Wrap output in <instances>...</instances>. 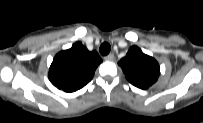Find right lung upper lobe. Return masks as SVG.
Masks as SVG:
<instances>
[{
	"label": "right lung upper lobe",
	"mask_w": 203,
	"mask_h": 123,
	"mask_svg": "<svg viewBox=\"0 0 203 123\" xmlns=\"http://www.w3.org/2000/svg\"><path fill=\"white\" fill-rule=\"evenodd\" d=\"M102 59L96 51H88L81 42L59 52L50 66L48 77L54 86L65 92H75L94 75Z\"/></svg>",
	"instance_id": "obj_1"
}]
</instances>
